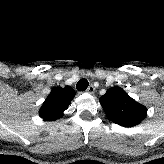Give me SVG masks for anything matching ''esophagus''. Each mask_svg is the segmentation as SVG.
<instances>
[{
    "mask_svg": "<svg viewBox=\"0 0 164 164\" xmlns=\"http://www.w3.org/2000/svg\"><path fill=\"white\" fill-rule=\"evenodd\" d=\"M95 92V88L93 85H90L88 88H87V93H90V94H93Z\"/></svg>",
    "mask_w": 164,
    "mask_h": 164,
    "instance_id": "esophagus-1",
    "label": "esophagus"
}]
</instances>
